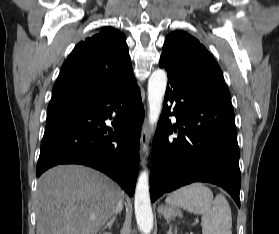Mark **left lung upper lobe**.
<instances>
[{
    "instance_id": "obj_1",
    "label": "left lung upper lobe",
    "mask_w": 279,
    "mask_h": 234,
    "mask_svg": "<svg viewBox=\"0 0 279 234\" xmlns=\"http://www.w3.org/2000/svg\"><path fill=\"white\" fill-rule=\"evenodd\" d=\"M161 57L191 74L224 83L222 71L213 56L184 31H174L166 37Z\"/></svg>"
}]
</instances>
